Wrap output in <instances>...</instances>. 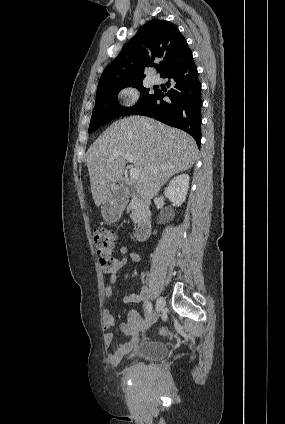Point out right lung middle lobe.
<instances>
[{
  "label": "right lung middle lobe",
  "mask_w": 285,
  "mask_h": 424,
  "mask_svg": "<svg viewBox=\"0 0 285 424\" xmlns=\"http://www.w3.org/2000/svg\"><path fill=\"white\" fill-rule=\"evenodd\" d=\"M125 87H136L141 93L137 104L127 109H123L117 102V95L119 91ZM154 94L155 93L149 92V89H146L143 86L142 81L120 83L97 89L95 106L88 132L92 133L100 126L110 122L112 119L129 114L131 111L147 103Z\"/></svg>",
  "instance_id": "right-lung-middle-lobe-1"
}]
</instances>
